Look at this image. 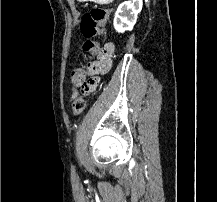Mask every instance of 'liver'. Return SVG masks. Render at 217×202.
Instances as JSON below:
<instances>
[{"label": "liver", "mask_w": 217, "mask_h": 202, "mask_svg": "<svg viewBox=\"0 0 217 202\" xmlns=\"http://www.w3.org/2000/svg\"><path fill=\"white\" fill-rule=\"evenodd\" d=\"M69 4H71L72 0H68Z\"/></svg>", "instance_id": "6515ba94"}]
</instances>
